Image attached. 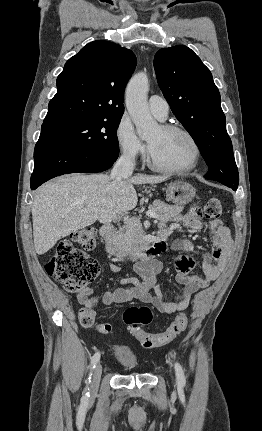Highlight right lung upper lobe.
Wrapping results in <instances>:
<instances>
[{"label":"right lung upper lobe","instance_id":"cb5924a9","mask_svg":"<svg viewBox=\"0 0 262 431\" xmlns=\"http://www.w3.org/2000/svg\"><path fill=\"white\" fill-rule=\"evenodd\" d=\"M134 53L109 41H93L71 57L58 76L57 93L42 125L89 117H119Z\"/></svg>","mask_w":262,"mask_h":431}]
</instances>
